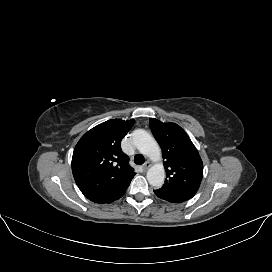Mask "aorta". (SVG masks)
<instances>
[{
    "mask_svg": "<svg viewBox=\"0 0 272 272\" xmlns=\"http://www.w3.org/2000/svg\"><path fill=\"white\" fill-rule=\"evenodd\" d=\"M132 142L141 154L157 162L147 171V180L150 185L160 188L164 184L165 169L161 160V150L154 137L143 129H136L132 133Z\"/></svg>",
    "mask_w": 272,
    "mask_h": 272,
    "instance_id": "762f6f07",
    "label": "aorta"
}]
</instances>
